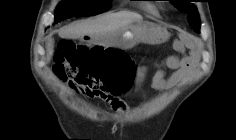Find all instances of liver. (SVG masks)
<instances>
[{
	"label": "liver",
	"mask_w": 236,
	"mask_h": 140,
	"mask_svg": "<svg viewBox=\"0 0 236 140\" xmlns=\"http://www.w3.org/2000/svg\"><path fill=\"white\" fill-rule=\"evenodd\" d=\"M142 17L136 13L119 12L109 13L96 19L82 20L61 28L58 34L61 38L78 39L89 36L95 40L108 38L120 30L127 29L134 22L141 21ZM47 60L54 52V42L49 39L46 44Z\"/></svg>",
	"instance_id": "1"
}]
</instances>
